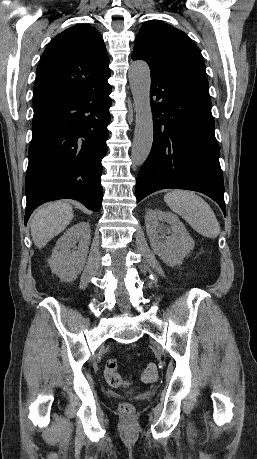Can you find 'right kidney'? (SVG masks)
<instances>
[{"mask_svg":"<svg viewBox=\"0 0 257 459\" xmlns=\"http://www.w3.org/2000/svg\"><path fill=\"white\" fill-rule=\"evenodd\" d=\"M90 237V225L87 222H79L59 238L48 264L51 271L61 280L74 281L81 273L86 263Z\"/></svg>","mask_w":257,"mask_h":459,"instance_id":"obj_1","label":"right kidney"}]
</instances>
